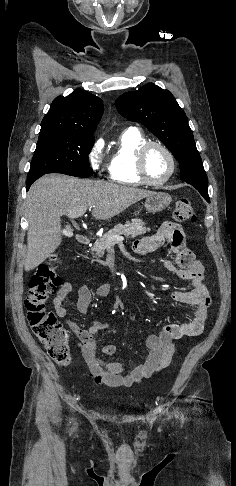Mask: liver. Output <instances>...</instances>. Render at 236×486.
Wrapping results in <instances>:
<instances>
[{
    "label": "liver",
    "mask_w": 236,
    "mask_h": 486,
    "mask_svg": "<svg viewBox=\"0 0 236 486\" xmlns=\"http://www.w3.org/2000/svg\"><path fill=\"white\" fill-rule=\"evenodd\" d=\"M152 191L104 181L49 174L38 179L26 198L28 220L25 271L43 263L61 244V216L92 207L97 220L110 219Z\"/></svg>",
    "instance_id": "liver-1"
}]
</instances>
